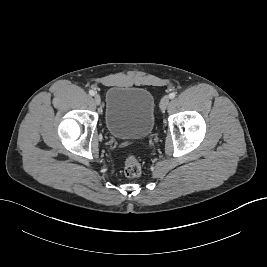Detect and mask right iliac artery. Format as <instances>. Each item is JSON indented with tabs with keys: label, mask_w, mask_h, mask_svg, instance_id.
<instances>
[{
	"label": "right iliac artery",
	"mask_w": 267,
	"mask_h": 267,
	"mask_svg": "<svg viewBox=\"0 0 267 267\" xmlns=\"http://www.w3.org/2000/svg\"><path fill=\"white\" fill-rule=\"evenodd\" d=\"M89 94H90L91 96H94V95H95V92H94L93 90H90V91H89Z\"/></svg>",
	"instance_id": "1"
}]
</instances>
